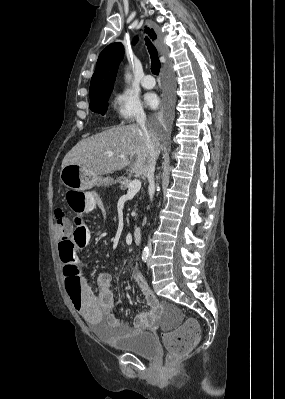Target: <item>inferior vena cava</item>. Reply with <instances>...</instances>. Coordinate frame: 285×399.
Listing matches in <instances>:
<instances>
[{
    "label": "inferior vena cava",
    "instance_id": "1",
    "mask_svg": "<svg viewBox=\"0 0 285 399\" xmlns=\"http://www.w3.org/2000/svg\"><path fill=\"white\" fill-rule=\"evenodd\" d=\"M146 116L144 114L137 116V123L143 130L146 137V145L148 150V166H147V179L149 182V195L151 201L155 191L154 172L156 166L157 153V139L146 129ZM148 247L151 250V240L148 241Z\"/></svg>",
    "mask_w": 285,
    "mask_h": 399
}]
</instances>
